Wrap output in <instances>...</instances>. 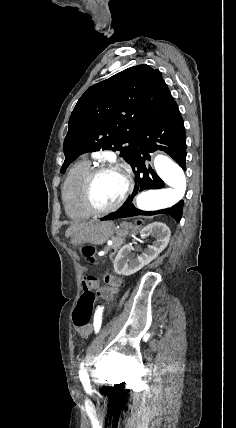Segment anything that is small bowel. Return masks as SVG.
I'll return each instance as SVG.
<instances>
[{
	"instance_id": "obj_1",
	"label": "small bowel",
	"mask_w": 236,
	"mask_h": 428,
	"mask_svg": "<svg viewBox=\"0 0 236 428\" xmlns=\"http://www.w3.org/2000/svg\"><path fill=\"white\" fill-rule=\"evenodd\" d=\"M108 286L102 287L99 289L98 294L99 296L106 300L111 301L114 298V295L117 292L118 287L121 285V279L115 276H111L107 278ZM104 307L102 305L98 306L96 311L103 312ZM91 331V326H87L84 330L80 331L82 335H87Z\"/></svg>"
}]
</instances>
